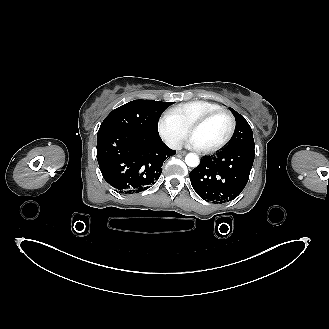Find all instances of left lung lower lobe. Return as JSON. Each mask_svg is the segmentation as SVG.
<instances>
[{
  "mask_svg": "<svg viewBox=\"0 0 329 329\" xmlns=\"http://www.w3.org/2000/svg\"><path fill=\"white\" fill-rule=\"evenodd\" d=\"M254 155V147H236L203 157L190 172L193 189L206 201L235 199L248 182Z\"/></svg>",
  "mask_w": 329,
  "mask_h": 329,
  "instance_id": "obj_1",
  "label": "left lung lower lobe"
}]
</instances>
